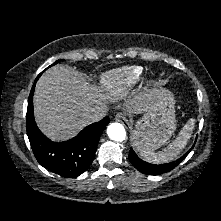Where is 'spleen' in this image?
<instances>
[{"label": "spleen", "instance_id": "obj_1", "mask_svg": "<svg viewBox=\"0 0 221 221\" xmlns=\"http://www.w3.org/2000/svg\"><path fill=\"white\" fill-rule=\"evenodd\" d=\"M195 127V119L191 118L183 126L178 136L166 148L158 153L150 150L140 151V156L149 163H165L174 160L187 145Z\"/></svg>", "mask_w": 221, "mask_h": 221}]
</instances>
